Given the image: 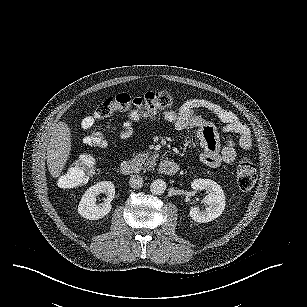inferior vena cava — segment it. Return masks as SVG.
<instances>
[{
  "mask_svg": "<svg viewBox=\"0 0 307 307\" xmlns=\"http://www.w3.org/2000/svg\"><path fill=\"white\" fill-rule=\"evenodd\" d=\"M129 185L133 189H140L143 186V178L140 175H132L129 179Z\"/></svg>",
  "mask_w": 307,
  "mask_h": 307,
  "instance_id": "obj_1",
  "label": "inferior vena cava"
}]
</instances>
